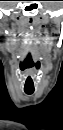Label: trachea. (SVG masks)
I'll use <instances>...</instances> for the list:
<instances>
[{"label": "trachea", "mask_w": 63, "mask_h": 130, "mask_svg": "<svg viewBox=\"0 0 63 130\" xmlns=\"http://www.w3.org/2000/svg\"><path fill=\"white\" fill-rule=\"evenodd\" d=\"M25 93H26L27 95H31L33 92H27V91H26Z\"/></svg>", "instance_id": "3493384b"}]
</instances>
